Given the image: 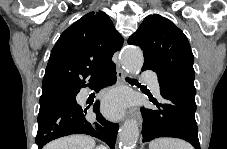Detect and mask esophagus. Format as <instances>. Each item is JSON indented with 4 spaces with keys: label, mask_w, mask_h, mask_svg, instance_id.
<instances>
[{
    "label": "esophagus",
    "mask_w": 227,
    "mask_h": 149,
    "mask_svg": "<svg viewBox=\"0 0 227 149\" xmlns=\"http://www.w3.org/2000/svg\"><path fill=\"white\" fill-rule=\"evenodd\" d=\"M125 76H126V73L124 72V70L122 68L118 67L117 68V81L119 83H122L124 81ZM135 117L139 123L142 122L141 114L138 111H127L126 114L122 115L123 119H135Z\"/></svg>",
    "instance_id": "1"
}]
</instances>
